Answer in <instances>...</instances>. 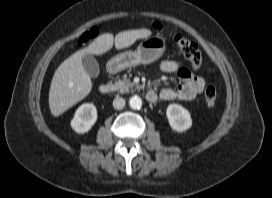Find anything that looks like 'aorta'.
Returning a JSON list of instances; mask_svg holds the SVG:
<instances>
[{"label": "aorta", "instance_id": "obj_1", "mask_svg": "<svg viewBox=\"0 0 272 198\" xmlns=\"http://www.w3.org/2000/svg\"><path fill=\"white\" fill-rule=\"evenodd\" d=\"M129 105L132 109H140L142 106V100L138 96H133L129 99Z\"/></svg>", "mask_w": 272, "mask_h": 198}]
</instances>
